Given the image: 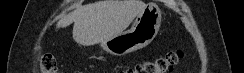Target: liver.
I'll return each instance as SVG.
<instances>
[{"label": "liver", "instance_id": "1", "mask_svg": "<svg viewBox=\"0 0 244 73\" xmlns=\"http://www.w3.org/2000/svg\"><path fill=\"white\" fill-rule=\"evenodd\" d=\"M145 6L142 0H102L76 7L58 21L57 28L74 23V41L90 46L122 33Z\"/></svg>", "mask_w": 244, "mask_h": 73}]
</instances>
